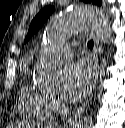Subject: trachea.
Wrapping results in <instances>:
<instances>
[{
    "label": "trachea",
    "mask_w": 125,
    "mask_h": 128,
    "mask_svg": "<svg viewBox=\"0 0 125 128\" xmlns=\"http://www.w3.org/2000/svg\"><path fill=\"white\" fill-rule=\"evenodd\" d=\"M93 46H94V42H93V40H90L89 42H88V47H89V49H93Z\"/></svg>",
    "instance_id": "obj_1"
}]
</instances>
